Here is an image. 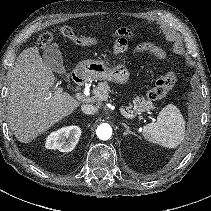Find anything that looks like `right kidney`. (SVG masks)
Returning a JSON list of instances; mask_svg holds the SVG:
<instances>
[{
    "mask_svg": "<svg viewBox=\"0 0 211 211\" xmlns=\"http://www.w3.org/2000/svg\"><path fill=\"white\" fill-rule=\"evenodd\" d=\"M81 133L82 131L78 126L63 127L48 135L45 147L57 149L60 152H70L76 147Z\"/></svg>",
    "mask_w": 211,
    "mask_h": 211,
    "instance_id": "1",
    "label": "right kidney"
}]
</instances>
